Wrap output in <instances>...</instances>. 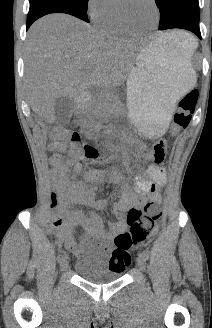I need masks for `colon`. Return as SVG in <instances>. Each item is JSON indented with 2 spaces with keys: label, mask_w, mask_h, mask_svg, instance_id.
I'll list each match as a JSON object with an SVG mask.
<instances>
[{
  "label": "colon",
  "mask_w": 212,
  "mask_h": 328,
  "mask_svg": "<svg viewBox=\"0 0 212 328\" xmlns=\"http://www.w3.org/2000/svg\"><path fill=\"white\" fill-rule=\"evenodd\" d=\"M198 101V91L191 90L187 92L178 103V107L173 115L170 134L176 136L185 130L192 119ZM51 138L56 145H62L65 142H71L76 148H82L86 158L93 159L98 156L95 147L89 144H83L78 133H70L62 128H55L51 132ZM169 141L162 138L156 141L150 152V159L155 164H161L164 161ZM52 203H55V196H52ZM161 217V209L156 202L148 203L140 208H131L126 220L130 226L129 230L120 233L115 238V249L110 257V264L115 262L120 267H128L131 263L129 251L145 243L156 230V222ZM61 223L60 219L55 220V225ZM62 240L71 248L76 249L72 237L68 233H63Z\"/></svg>",
  "instance_id": "1"
}]
</instances>
